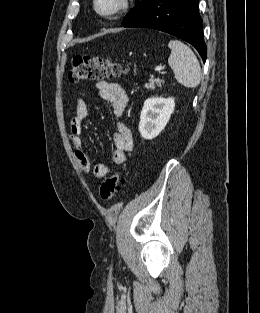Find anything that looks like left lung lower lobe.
<instances>
[{"instance_id":"1","label":"left lung lower lobe","mask_w":260,"mask_h":313,"mask_svg":"<svg viewBox=\"0 0 260 313\" xmlns=\"http://www.w3.org/2000/svg\"><path fill=\"white\" fill-rule=\"evenodd\" d=\"M199 0H151L150 3L124 27L153 28L175 35L192 44L203 61L207 48L203 38Z\"/></svg>"}]
</instances>
